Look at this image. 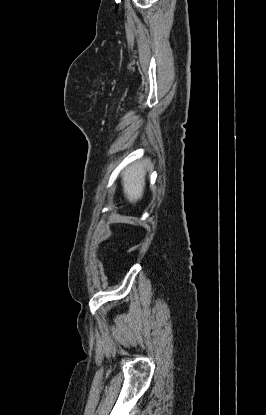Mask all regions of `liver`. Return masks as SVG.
I'll use <instances>...</instances> for the list:
<instances>
[{
    "label": "liver",
    "instance_id": "6515ba94",
    "mask_svg": "<svg viewBox=\"0 0 266 415\" xmlns=\"http://www.w3.org/2000/svg\"><path fill=\"white\" fill-rule=\"evenodd\" d=\"M148 161H139L128 167L122 175L123 191L126 198L135 203L142 198Z\"/></svg>",
    "mask_w": 266,
    "mask_h": 415
}]
</instances>
